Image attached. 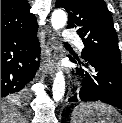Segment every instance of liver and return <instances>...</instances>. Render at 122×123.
Listing matches in <instances>:
<instances>
[{"instance_id": "6515ba94", "label": "liver", "mask_w": 122, "mask_h": 123, "mask_svg": "<svg viewBox=\"0 0 122 123\" xmlns=\"http://www.w3.org/2000/svg\"><path fill=\"white\" fill-rule=\"evenodd\" d=\"M1 123H26V121L13 106L1 104Z\"/></svg>"}]
</instances>
